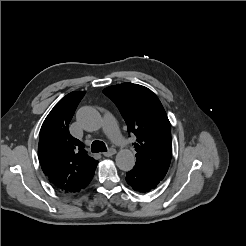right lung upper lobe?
<instances>
[{
	"label": "right lung upper lobe",
	"instance_id": "cb5924a9",
	"mask_svg": "<svg viewBox=\"0 0 246 246\" xmlns=\"http://www.w3.org/2000/svg\"><path fill=\"white\" fill-rule=\"evenodd\" d=\"M84 95L85 91H74L63 97L44 120L39 135L41 168L52 185L65 194L84 189L92 180L98 164L68 129Z\"/></svg>",
	"mask_w": 246,
	"mask_h": 246
}]
</instances>
